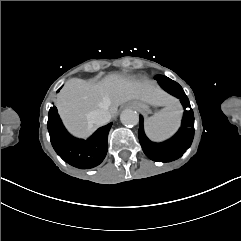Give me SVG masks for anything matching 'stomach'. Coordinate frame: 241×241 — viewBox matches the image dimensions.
I'll use <instances>...</instances> for the list:
<instances>
[{"label": "stomach", "mask_w": 241, "mask_h": 241, "mask_svg": "<svg viewBox=\"0 0 241 241\" xmlns=\"http://www.w3.org/2000/svg\"><path fill=\"white\" fill-rule=\"evenodd\" d=\"M133 104L135 106H138L139 108L143 109L144 111H148V106L146 103L141 102V101H134Z\"/></svg>", "instance_id": "0dacf381"}]
</instances>
